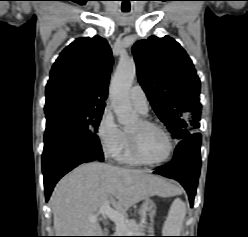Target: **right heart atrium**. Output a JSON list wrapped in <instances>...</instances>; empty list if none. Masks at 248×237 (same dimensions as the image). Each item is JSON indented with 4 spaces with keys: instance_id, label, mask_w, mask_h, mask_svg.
I'll return each instance as SVG.
<instances>
[{
    "instance_id": "obj_1",
    "label": "right heart atrium",
    "mask_w": 248,
    "mask_h": 237,
    "mask_svg": "<svg viewBox=\"0 0 248 237\" xmlns=\"http://www.w3.org/2000/svg\"><path fill=\"white\" fill-rule=\"evenodd\" d=\"M96 135L105 157L115 159L123 149L125 135L115 122L110 108H105L99 118Z\"/></svg>"
}]
</instances>
